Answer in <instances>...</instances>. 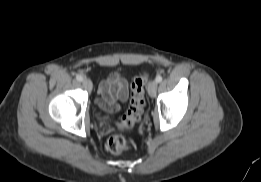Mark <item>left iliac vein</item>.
<instances>
[{
  "label": "left iliac vein",
  "mask_w": 261,
  "mask_h": 182,
  "mask_svg": "<svg viewBox=\"0 0 261 182\" xmlns=\"http://www.w3.org/2000/svg\"><path fill=\"white\" fill-rule=\"evenodd\" d=\"M157 87H158V84L156 81H151L148 85V94L151 96V97H154L156 95V91H157Z\"/></svg>",
  "instance_id": "obj_1"
}]
</instances>
